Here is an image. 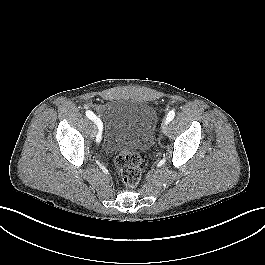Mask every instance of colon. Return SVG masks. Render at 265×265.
<instances>
[{"label": "colon", "instance_id": "1", "mask_svg": "<svg viewBox=\"0 0 265 265\" xmlns=\"http://www.w3.org/2000/svg\"><path fill=\"white\" fill-rule=\"evenodd\" d=\"M141 157L137 153L120 154L115 158V165L126 186L135 188L142 177Z\"/></svg>", "mask_w": 265, "mask_h": 265}]
</instances>
